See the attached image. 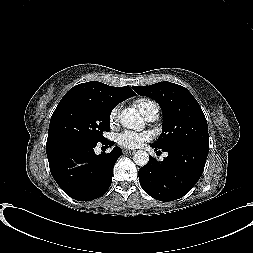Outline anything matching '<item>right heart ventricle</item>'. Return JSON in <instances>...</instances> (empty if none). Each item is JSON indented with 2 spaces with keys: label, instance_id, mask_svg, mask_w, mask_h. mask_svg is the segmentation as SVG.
<instances>
[{
  "label": "right heart ventricle",
  "instance_id": "1",
  "mask_svg": "<svg viewBox=\"0 0 253 253\" xmlns=\"http://www.w3.org/2000/svg\"><path fill=\"white\" fill-rule=\"evenodd\" d=\"M151 101L150 100H139L136 102V105L138 107V109L140 110V112L144 115L147 107H148V104L150 103Z\"/></svg>",
  "mask_w": 253,
  "mask_h": 253
}]
</instances>
